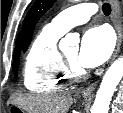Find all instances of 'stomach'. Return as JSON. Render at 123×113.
Segmentation results:
<instances>
[{"instance_id":"obj_1","label":"stomach","mask_w":123,"mask_h":113,"mask_svg":"<svg viewBox=\"0 0 123 113\" xmlns=\"http://www.w3.org/2000/svg\"><path fill=\"white\" fill-rule=\"evenodd\" d=\"M11 111H12V112H22V110H21L19 107H17L16 105H13V106L11 107Z\"/></svg>"}]
</instances>
